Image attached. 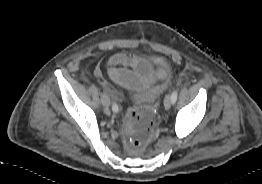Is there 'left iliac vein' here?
<instances>
[{
  "mask_svg": "<svg viewBox=\"0 0 262 184\" xmlns=\"http://www.w3.org/2000/svg\"><path fill=\"white\" fill-rule=\"evenodd\" d=\"M172 101H171V96H166L164 99V108L168 110L171 107Z\"/></svg>",
  "mask_w": 262,
  "mask_h": 184,
  "instance_id": "obj_1",
  "label": "left iliac vein"
}]
</instances>
